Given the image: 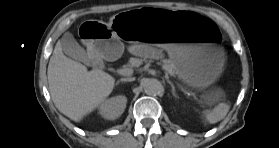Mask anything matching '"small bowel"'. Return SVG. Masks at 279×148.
I'll return each mask as SVG.
<instances>
[{"instance_id":"small-bowel-1","label":"small bowel","mask_w":279,"mask_h":148,"mask_svg":"<svg viewBox=\"0 0 279 148\" xmlns=\"http://www.w3.org/2000/svg\"><path fill=\"white\" fill-rule=\"evenodd\" d=\"M129 51L132 54H136V55H146V56H153V57L158 56V53L153 49L139 44H134L129 46Z\"/></svg>"}]
</instances>
